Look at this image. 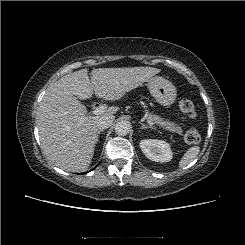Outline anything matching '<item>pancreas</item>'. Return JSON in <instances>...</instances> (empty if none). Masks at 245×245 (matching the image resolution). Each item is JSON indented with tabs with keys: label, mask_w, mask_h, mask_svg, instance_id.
I'll use <instances>...</instances> for the list:
<instances>
[{
	"label": "pancreas",
	"mask_w": 245,
	"mask_h": 245,
	"mask_svg": "<svg viewBox=\"0 0 245 245\" xmlns=\"http://www.w3.org/2000/svg\"><path fill=\"white\" fill-rule=\"evenodd\" d=\"M145 115L154 124H157L170 132H175L178 134L183 133V130L179 125L174 124L168 120H163V118H161L160 116L149 113L148 110H145Z\"/></svg>",
	"instance_id": "1"
}]
</instances>
